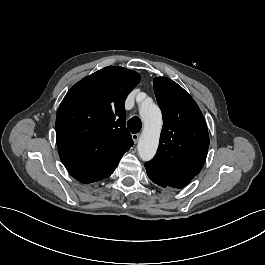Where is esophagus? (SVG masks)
I'll list each match as a JSON object with an SVG mask.
<instances>
[{
  "label": "esophagus",
  "instance_id": "1",
  "mask_svg": "<svg viewBox=\"0 0 265 265\" xmlns=\"http://www.w3.org/2000/svg\"><path fill=\"white\" fill-rule=\"evenodd\" d=\"M139 136L140 135L138 133L137 134H132V139H133L134 143H137L138 142Z\"/></svg>",
  "mask_w": 265,
  "mask_h": 265
}]
</instances>
